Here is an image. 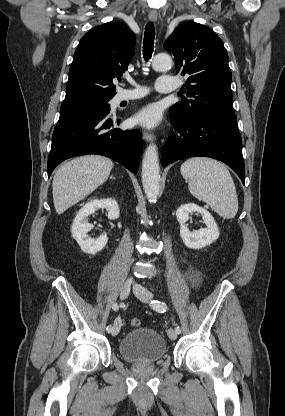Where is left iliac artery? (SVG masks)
<instances>
[{"mask_svg":"<svg viewBox=\"0 0 285 416\" xmlns=\"http://www.w3.org/2000/svg\"><path fill=\"white\" fill-rule=\"evenodd\" d=\"M151 305L155 311H158L160 313H164L167 310V305L158 300L151 301ZM175 331L179 334L181 332V329L179 326L176 327Z\"/></svg>","mask_w":285,"mask_h":416,"instance_id":"1","label":"left iliac artery"}]
</instances>
